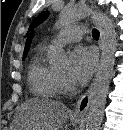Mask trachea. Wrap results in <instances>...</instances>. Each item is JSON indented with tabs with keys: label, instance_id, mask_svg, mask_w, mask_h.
I'll list each match as a JSON object with an SVG mask.
<instances>
[{
	"label": "trachea",
	"instance_id": "1",
	"mask_svg": "<svg viewBox=\"0 0 123 130\" xmlns=\"http://www.w3.org/2000/svg\"><path fill=\"white\" fill-rule=\"evenodd\" d=\"M99 32L96 29H93L92 36L94 39H99Z\"/></svg>",
	"mask_w": 123,
	"mask_h": 130
}]
</instances>
